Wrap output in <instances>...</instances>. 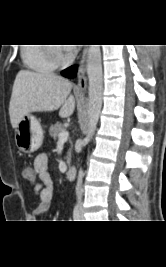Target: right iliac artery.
<instances>
[{
    "label": "right iliac artery",
    "instance_id": "1",
    "mask_svg": "<svg viewBox=\"0 0 166 267\" xmlns=\"http://www.w3.org/2000/svg\"><path fill=\"white\" fill-rule=\"evenodd\" d=\"M73 218L74 221H80V210H79V206L76 205L73 211Z\"/></svg>",
    "mask_w": 166,
    "mask_h": 267
}]
</instances>
